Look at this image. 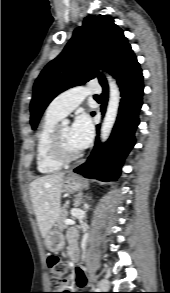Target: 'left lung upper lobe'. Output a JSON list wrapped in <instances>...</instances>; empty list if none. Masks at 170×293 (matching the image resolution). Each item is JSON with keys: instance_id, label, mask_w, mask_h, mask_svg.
Wrapping results in <instances>:
<instances>
[{"instance_id": "obj_1", "label": "left lung upper lobe", "mask_w": 170, "mask_h": 293, "mask_svg": "<svg viewBox=\"0 0 170 293\" xmlns=\"http://www.w3.org/2000/svg\"><path fill=\"white\" fill-rule=\"evenodd\" d=\"M130 48L123 31L111 16H87L62 53L43 69L33 88L30 105L31 125L36 129L40 117L59 93L97 77L95 69L111 72L115 63Z\"/></svg>"}]
</instances>
